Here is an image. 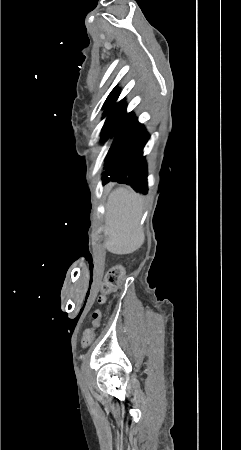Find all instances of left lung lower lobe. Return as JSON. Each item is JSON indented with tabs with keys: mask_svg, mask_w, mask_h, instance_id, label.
Wrapping results in <instances>:
<instances>
[{
	"mask_svg": "<svg viewBox=\"0 0 241 450\" xmlns=\"http://www.w3.org/2000/svg\"><path fill=\"white\" fill-rule=\"evenodd\" d=\"M118 94L105 106L103 115H108L102 128L103 138H115L106 158L103 184L117 181L146 194L147 173L142 150L148 134L133 113H126L125 100L115 103Z\"/></svg>",
	"mask_w": 241,
	"mask_h": 450,
	"instance_id": "0a47b994",
	"label": "left lung lower lobe"
}]
</instances>
